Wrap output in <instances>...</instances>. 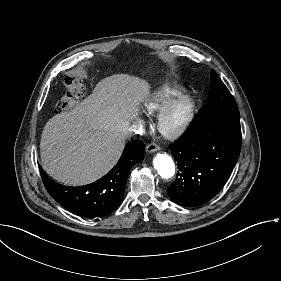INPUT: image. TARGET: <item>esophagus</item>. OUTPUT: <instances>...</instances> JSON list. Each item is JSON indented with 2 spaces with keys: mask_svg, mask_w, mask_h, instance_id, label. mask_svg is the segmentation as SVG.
<instances>
[{
  "mask_svg": "<svg viewBox=\"0 0 281 281\" xmlns=\"http://www.w3.org/2000/svg\"><path fill=\"white\" fill-rule=\"evenodd\" d=\"M160 149V146L158 144H156L155 142H151L146 150L147 152H155V151H158Z\"/></svg>",
  "mask_w": 281,
  "mask_h": 281,
  "instance_id": "esophagus-1",
  "label": "esophagus"
}]
</instances>
